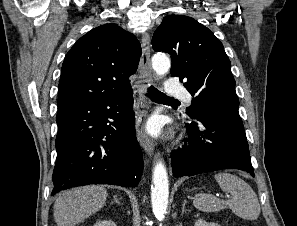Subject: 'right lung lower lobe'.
<instances>
[{
    "mask_svg": "<svg viewBox=\"0 0 297 226\" xmlns=\"http://www.w3.org/2000/svg\"><path fill=\"white\" fill-rule=\"evenodd\" d=\"M56 122L52 195L88 184L135 187L139 183L143 159L135 134L132 91L59 106Z\"/></svg>",
    "mask_w": 297,
    "mask_h": 226,
    "instance_id": "right-lung-lower-lobe-1",
    "label": "right lung lower lobe"
}]
</instances>
